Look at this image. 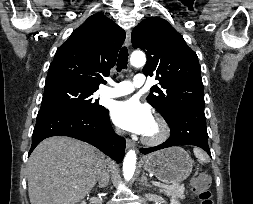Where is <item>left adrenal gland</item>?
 Segmentation results:
<instances>
[{"label":"left adrenal gland","mask_w":253,"mask_h":204,"mask_svg":"<svg viewBox=\"0 0 253 204\" xmlns=\"http://www.w3.org/2000/svg\"><path fill=\"white\" fill-rule=\"evenodd\" d=\"M140 182L142 184H144L146 187H151V185L148 183V179L145 176V172L144 171L142 172V176H141Z\"/></svg>","instance_id":"a2214340"}]
</instances>
